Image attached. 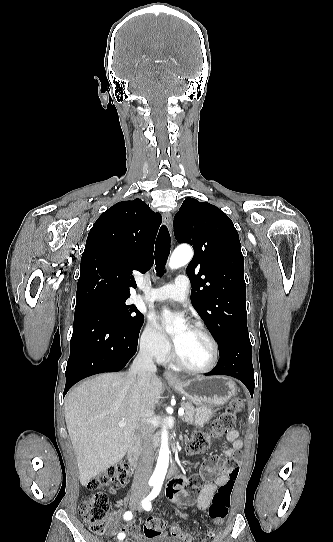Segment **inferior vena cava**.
Listing matches in <instances>:
<instances>
[{"label":"inferior vena cava","instance_id":"1","mask_svg":"<svg viewBox=\"0 0 333 542\" xmlns=\"http://www.w3.org/2000/svg\"><path fill=\"white\" fill-rule=\"evenodd\" d=\"M129 372H134L137 376V384L140 388L142 396H146L147 386L154 378L157 368L153 362L151 354H148L146 350H140L138 356H136L132 366H130ZM144 412L150 414L151 400H145ZM149 418V416H148ZM147 420V418H145ZM142 420L141 422V440H142V452L139 458V464L135 470L134 480L132 484V490H145L147 492L148 482L152 474L154 450L152 446V432L153 426Z\"/></svg>","mask_w":333,"mask_h":542}]
</instances>
